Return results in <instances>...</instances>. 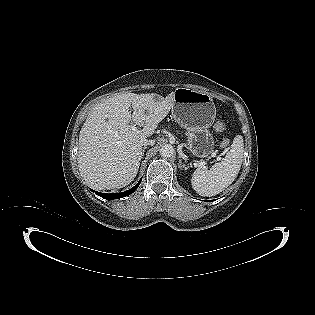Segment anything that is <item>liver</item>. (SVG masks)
<instances>
[{"mask_svg": "<svg viewBox=\"0 0 315 315\" xmlns=\"http://www.w3.org/2000/svg\"><path fill=\"white\" fill-rule=\"evenodd\" d=\"M173 101L174 92L165 98L126 92L95 105L79 134L78 166L84 180L101 190L130 184L142 159V141L154 134ZM131 121L143 129L133 130Z\"/></svg>", "mask_w": 315, "mask_h": 315, "instance_id": "liver-1", "label": "liver"}]
</instances>
